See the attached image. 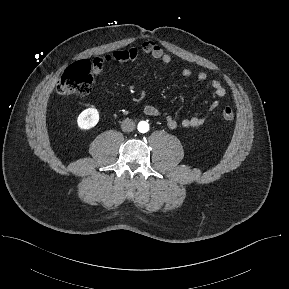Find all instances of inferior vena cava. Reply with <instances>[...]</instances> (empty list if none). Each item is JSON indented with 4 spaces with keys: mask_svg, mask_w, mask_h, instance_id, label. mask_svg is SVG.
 I'll use <instances>...</instances> for the list:
<instances>
[{
    "mask_svg": "<svg viewBox=\"0 0 289 289\" xmlns=\"http://www.w3.org/2000/svg\"><path fill=\"white\" fill-rule=\"evenodd\" d=\"M135 128V122L132 119L126 118L121 123V129L124 132H131Z\"/></svg>",
    "mask_w": 289,
    "mask_h": 289,
    "instance_id": "obj_1",
    "label": "inferior vena cava"
}]
</instances>
